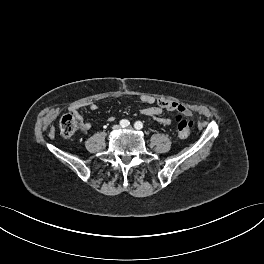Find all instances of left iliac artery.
Masks as SVG:
<instances>
[{
	"label": "left iliac artery",
	"instance_id": "44dca946",
	"mask_svg": "<svg viewBox=\"0 0 264 264\" xmlns=\"http://www.w3.org/2000/svg\"><path fill=\"white\" fill-rule=\"evenodd\" d=\"M134 127H135L137 130H140V129L143 128V123H142L141 121H137V122H135Z\"/></svg>",
	"mask_w": 264,
	"mask_h": 264
}]
</instances>
